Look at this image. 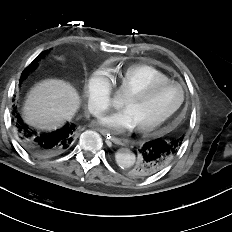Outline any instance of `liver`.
Listing matches in <instances>:
<instances>
[{
    "label": "liver",
    "instance_id": "obj_1",
    "mask_svg": "<svg viewBox=\"0 0 232 232\" xmlns=\"http://www.w3.org/2000/svg\"><path fill=\"white\" fill-rule=\"evenodd\" d=\"M79 105V95L69 83L48 79L30 91L23 107V117L33 127L52 130L70 120Z\"/></svg>",
    "mask_w": 232,
    "mask_h": 232
}]
</instances>
